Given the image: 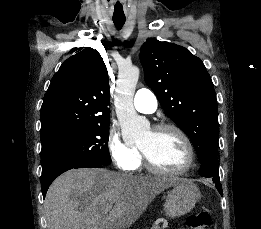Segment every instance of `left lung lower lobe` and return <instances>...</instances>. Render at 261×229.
<instances>
[{
    "label": "left lung lower lobe",
    "mask_w": 261,
    "mask_h": 229,
    "mask_svg": "<svg viewBox=\"0 0 261 229\" xmlns=\"http://www.w3.org/2000/svg\"><path fill=\"white\" fill-rule=\"evenodd\" d=\"M200 167V175L207 178H212L219 193L222 195V186L219 177V166L217 155L208 156L202 161Z\"/></svg>",
    "instance_id": "left-lung-lower-lobe-1"
}]
</instances>
